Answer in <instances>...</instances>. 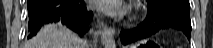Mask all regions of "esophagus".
Wrapping results in <instances>:
<instances>
[{
    "label": "esophagus",
    "mask_w": 213,
    "mask_h": 48,
    "mask_svg": "<svg viewBox=\"0 0 213 48\" xmlns=\"http://www.w3.org/2000/svg\"><path fill=\"white\" fill-rule=\"evenodd\" d=\"M109 35H114L113 29L104 25L101 32L102 41H105Z\"/></svg>",
    "instance_id": "34e87169"
}]
</instances>
